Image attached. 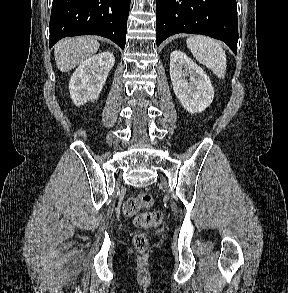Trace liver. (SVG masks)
Returning a JSON list of instances; mask_svg holds the SVG:
<instances>
[{
	"label": "liver",
	"mask_w": 288,
	"mask_h": 293,
	"mask_svg": "<svg viewBox=\"0 0 288 293\" xmlns=\"http://www.w3.org/2000/svg\"><path fill=\"white\" fill-rule=\"evenodd\" d=\"M99 47L92 37L62 39L54 46L56 65L62 72L70 71L95 54Z\"/></svg>",
	"instance_id": "liver-1"
}]
</instances>
